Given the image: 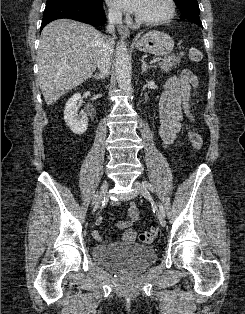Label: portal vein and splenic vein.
<instances>
[{
	"label": "portal vein and splenic vein",
	"instance_id": "obj_1",
	"mask_svg": "<svg viewBox=\"0 0 245 314\" xmlns=\"http://www.w3.org/2000/svg\"><path fill=\"white\" fill-rule=\"evenodd\" d=\"M160 60H161V58H155V59H153V60L151 61V64L156 63V62H159Z\"/></svg>",
	"mask_w": 245,
	"mask_h": 314
}]
</instances>
